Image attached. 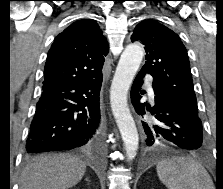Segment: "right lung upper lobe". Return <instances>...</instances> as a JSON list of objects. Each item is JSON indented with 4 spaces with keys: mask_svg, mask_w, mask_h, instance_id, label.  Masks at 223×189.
<instances>
[{
    "mask_svg": "<svg viewBox=\"0 0 223 189\" xmlns=\"http://www.w3.org/2000/svg\"><path fill=\"white\" fill-rule=\"evenodd\" d=\"M107 53L106 38L95 21L74 22L55 38L48 52L43 85L99 76Z\"/></svg>",
    "mask_w": 223,
    "mask_h": 189,
    "instance_id": "1",
    "label": "right lung upper lobe"
}]
</instances>
